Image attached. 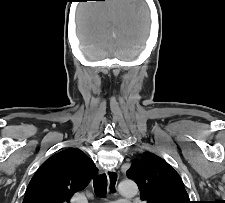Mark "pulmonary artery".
Masks as SVG:
<instances>
[{
    "label": "pulmonary artery",
    "mask_w": 225,
    "mask_h": 203,
    "mask_svg": "<svg viewBox=\"0 0 225 203\" xmlns=\"http://www.w3.org/2000/svg\"><path fill=\"white\" fill-rule=\"evenodd\" d=\"M112 203H129V201H127V200H120V201L112 202Z\"/></svg>",
    "instance_id": "pulmonary-artery-1"
}]
</instances>
